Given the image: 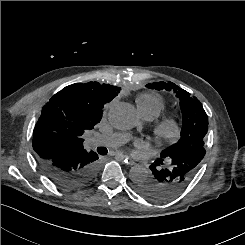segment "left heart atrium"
Returning <instances> with one entry per match:
<instances>
[{
  "label": "left heart atrium",
  "instance_id": "39dd6f15",
  "mask_svg": "<svg viewBox=\"0 0 245 245\" xmlns=\"http://www.w3.org/2000/svg\"><path fill=\"white\" fill-rule=\"evenodd\" d=\"M136 145H137V147H143V143L140 142V141H137V142H136Z\"/></svg>",
  "mask_w": 245,
  "mask_h": 245
}]
</instances>
